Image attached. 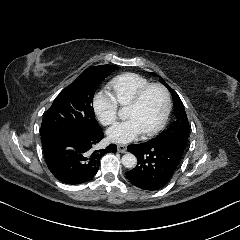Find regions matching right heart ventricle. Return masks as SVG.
I'll use <instances>...</instances> for the list:
<instances>
[{
	"mask_svg": "<svg viewBox=\"0 0 240 240\" xmlns=\"http://www.w3.org/2000/svg\"><path fill=\"white\" fill-rule=\"evenodd\" d=\"M149 80L136 73H123L112 78L106 84L107 96L116 107L124 108L135 96L136 92Z\"/></svg>",
	"mask_w": 240,
	"mask_h": 240,
	"instance_id": "e07e8e85",
	"label": "right heart ventricle"
}]
</instances>
